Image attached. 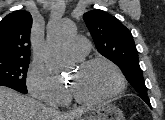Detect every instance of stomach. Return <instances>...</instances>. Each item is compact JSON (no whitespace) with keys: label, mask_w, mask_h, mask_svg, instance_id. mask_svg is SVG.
<instances>
[{"label":"stomach","mask_w":165,"mask_h":120,"mask_svg":"<svg viewBox=\"0 0 165 120\" xmlns=\"http://www.w3.org/2000/svg\"><path fill=\"white\" fill-rule=\"evenodd\" d=\"M76 120H125V117L117 106L102 103L86 109Z\"/></svg>","instance_id":"0dacf381"}]
</instances>
